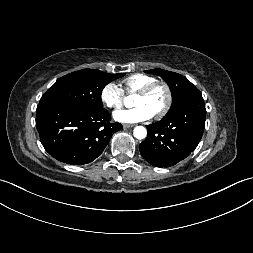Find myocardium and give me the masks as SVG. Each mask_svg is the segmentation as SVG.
Here are the masks:
<instances>
[{
	"label": "myocardium",
	"mask_w": 253,
	"mask_h": 253,
	"mask_svg": "<svg viewBox=\"0 0 253 253\" xmlns=\"http://www.w3.org/2000/svg\"><path fill=\"white\" fill-rule=\"evenodd\" d=\"M161 87L164 89L166 93V102L164 106L153 115L155 119H161L163 118L170 110L172 103H173V93L169 86V84L165 81L156 80L149 85L145 86L144 88L137 91L138 95L141 96H148L150 95L156 88Z\"/></svg>",
	"instance_id": "myocardium-1"
}]
</instances>
